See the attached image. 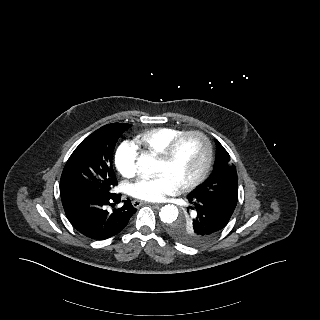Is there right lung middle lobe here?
Instances as JSON below:
<instances>
[{"label":"right lung middle lobe","mask_w":320,"mask_h":320,"mask_svg":"<svg viewBox=\"0 0 320 320\" xmlns=\"http://www.w3.org/2000/svg\"><path fill=\"white\" fill-rule=\"evenodd\" d=\"M131 125L112 123L85 138L68 159L60 180L62 195L111 193L117 179L112 167L113 151L121 134Z\"/></svg>","instance_id":"right-lung-middle-lobe-1"}]
</instances>
